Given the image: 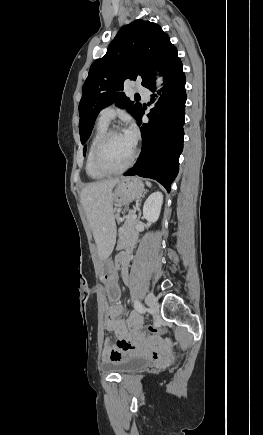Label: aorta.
<instances>
[{
    "label": "aorta",
    "instance_id": "762f6f07",
    "mask_svg": "<svg viewBox=\"0 0 263 435\" xmlns=\"http://www.w3.org/2000/svg\"><path fill=\"white\" fill-rule=\"evenodd\" d=\"M162 83H163V79H162V77H157V80H156V86H157V89H160L161 88V85H162Z\"/></svg>",
    "mask_w": 263,
    "mask_h": 435
}]
</instances>
